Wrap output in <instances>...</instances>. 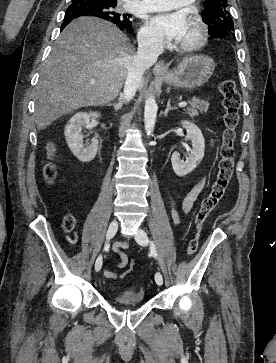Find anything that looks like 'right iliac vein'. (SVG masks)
<instances>
[{"instance_id": "right-iliac-vein-1", "label": "right iliac vein", "mask_w": 276, "mask_h": 363, "mask_svg": "<svg viewBox=\"0 0 276 363\" xmlns=\"http://www.w3.org/2000/svg\"><path fill=\"white\" fill-rule=\"evenodd\" d=\"M117 229H118V222H117L116 219H114V220L111 221V223H110V225L108 227L107 234H106V239L107 240L112 239L114 237V235L116 234ZM101 262H102V256L99 255L98 258L96 259L95 266H97Z\"/></svg>"}]
</instances>
